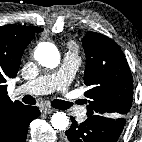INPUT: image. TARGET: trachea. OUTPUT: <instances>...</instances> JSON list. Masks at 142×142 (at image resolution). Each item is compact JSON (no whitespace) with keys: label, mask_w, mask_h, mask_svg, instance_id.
I'll list each match as a JSON object with an SVG mask.
<instances>
[{"label":"trachea","mask_w":142,"mask_h":142,"mask_svg":"<svg viewBox=\"0 0 142 142\" xmlns=\"http://www.w3.org/2000/svg\"><path fill=\"white\" fill-rule=\"evenodd\" d=\"M22 101L26 104L29 105H34L35 104V99L30 96V95H26L22 98ZM52 107L56 108V109H60V110H66L68 108L71 107V103L70 102H65L63 100H53L51 102Z\"/></svg>","instance_id":"trachea-1"}]
</instances>
